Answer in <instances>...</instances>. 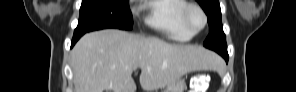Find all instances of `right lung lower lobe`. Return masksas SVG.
<instances>
[{
  "label": "right lung lower lobe",
  "mask_w": 296,
  "mask_h": 92,
  "mask_svg": "<svg viewBox=\"0 0 296 92\" xmlns=\"http://www.w3.org/2000/svg\"><path fill=\"white\" fill-rule=\"evenodd\" d=\"M81 36L74 34L73 39H72V46L76 43V41L80 38Z\"/></svg>",
  "instance_id": "obj_1"
}]
</instances>
